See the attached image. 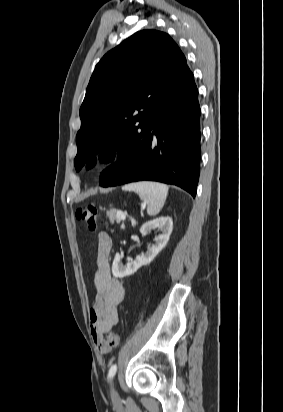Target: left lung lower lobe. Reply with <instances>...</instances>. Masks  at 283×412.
<instances>
[{
    "label": "left lung lower lobe",
    "mask_w": 283,
    "mask_h": 412,
    "mask_svg": "<svg viewBox=\"0 0 283 412\" xmlns=\"http://www.w3.org/2000/svg\"><path fill=\"white\" fill-rule=\"evenodd\" d=\"M200 107L190 72L149 128L132 136L100 176L103 187L150 180L176 185L196 196L200 173Z\"/></svg>",
    "instance_id": "obj_1"
}]
</instances>
